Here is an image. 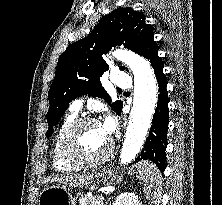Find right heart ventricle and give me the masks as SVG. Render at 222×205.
Wrapping results in <instances>:
<instances>
[{
  "label": "right heart ventricle",
  "instance_id": "e07e8e85",
  "mask_svg": "<svg viewBox=\"0 0 222 205\" xmlns=\"http://www.w3.org/2000/svg\"><path fill=\"white\" fill-rule=\"evenodd\" d=\"M76 119V113L71 112L65 118L61 126L59 127L55 138L53 140L51 157H52V164L56 171L58 172H71L78 170L80 167L74 164L69 163L65 160L62 151H61V140L64 132L70 126V124Z\"/></svg>",
  "mask_w": 222,
  "mask_h": 205
}]
</instances>
